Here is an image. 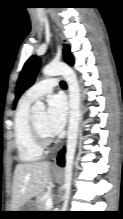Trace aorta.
<instances>
[{
    "mask_svg": "<svg viewBox=\"0 0 123 219\" xmlns=\"http://www.w3.org/2000/svg\"><path fill=\"white\" fill-rule=\"evenodd\" d=\"M43 75L47 77L61 75L68 84L69 89V125L67 132L66 158H65V183L64 189L67 198L70 192L73 163L77 145L79 124H80V87L77 76L73 69L65 63L51 62L43 68ZM34 113H44L45 104L37 101L32 106Z\"/></svg>",
    "mask_w": 123,
    "mask_h": 219,
    "instance_id": "762f6f07",
    "label": "aorta"
}]
</instances>
